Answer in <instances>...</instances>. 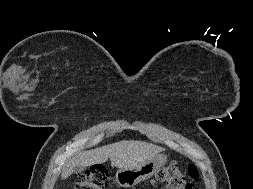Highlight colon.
<instances>
[{
  "label": "colon",
  "instance_id": "5ec220e1",
  "mask_svg": "<svg viewBox=\"0 0 253 189\" xmlns=\"http://www.w3.org/2000/svg\"><path fill=\"white\" fill-rule=\"evenodd\" d=\"M187 178L179 167L170 163L158 170L155 182L164 183L168 189H192L193 181L198 177L197 168L191 164L188 167ZM107 170L102 165H94L83 173L74 184V189H106Z\"/></svg>",
  "mask_w": 253,
  "mask_h": 189
}]
</instances>
